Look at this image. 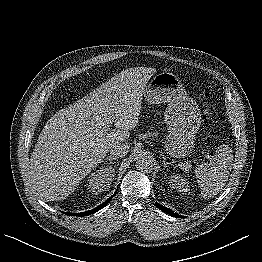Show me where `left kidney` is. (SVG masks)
Instances as JSON below:
<instances>
[{
	"instance_id": "obj_1",
	"label": "left kidney",
	"mask_w": 262,
	"mask_h": 262,
	"mask_svg": "<svg viewBox=\"0 0 262 262\" xmlns=\"http://www.w3.org/2000/svg\"><path fill=\"white\" fill-rule=\"evenodd\" d=\"M170 183L171 187L176 189L178 192H187L190 190L188 181L181 175H171Z\"/></svg>"
}]
</instances>
